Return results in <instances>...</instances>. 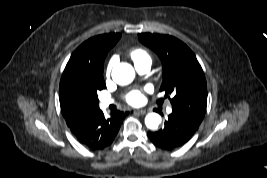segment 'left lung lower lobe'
Wrapping results in <instances>:
<instances>
[{
  "mask_svg": "<svg viewBox=\"0 0 267 178\" xmlns=\"http://www.w3.org/2000/svg\"><path fill=\"white\" fill-rule=\"evenodd\" d=\"M200 123L178 110L168 116L163 129L148 132L152 143L158 148L172 150L187 143L196 133Z\"/></svg>",
  "mask_w": 267,
  "mask_h": 178,
  "instance_id": "left-lung-lower-lobe-1",
  "label": "left lung lower lobe"
}]
</instances>
